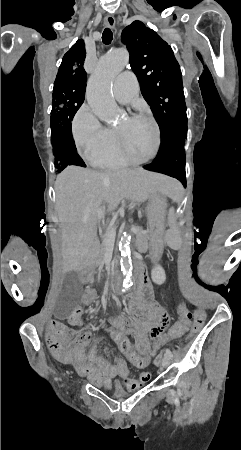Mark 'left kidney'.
Wrapping results in <instances>:
<instances>
[{
    "instance_id": "left-kidney-1",
    "label": "left kidney",
    "mask_w": 241,
    "mask_h": 450,
    "mask_svg": "<svg viewBox=\"0 0 241 450\" xmlns=\"http://www.w3.org/2000/svg\"><path fill=\"white\" fill-rule=\"evenodd\" d=\"M151 278L155 284H164L166 276L163 268L155 266L151 272Z\"/></svg>"
}]
</instances>
